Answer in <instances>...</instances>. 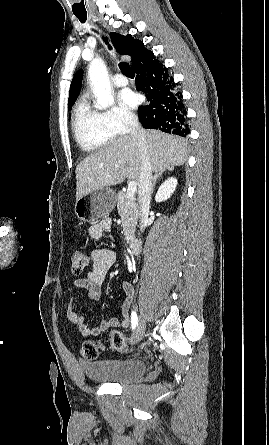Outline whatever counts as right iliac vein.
<instances>
[{
	"mask_svg": "<svg viewBox=\"0 0 269 445\" xmlns=\"http://www.w3.org/2000/svg\"><path fill=\"white\" fill-rule=\"evenodd\" d=\"M145 333V322L143 319H140L132 336L130 339L131 344H137L140 342L144 336Z\"/></svg>",
	"mask_w": 269,
	"mask_h": 445,
	"instance_id": "63e3f726",
	"label": "right iliac vein"
}]
</instances>
